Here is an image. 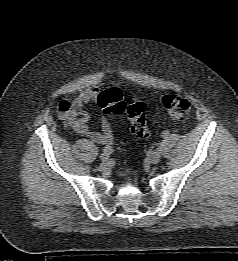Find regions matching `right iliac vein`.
<instances>
[{
    "label": "right iliac vein",
    "instance_id": "right-iliac-vein-1",
    "mask_svg": "<svg viewBox=\"0 0 238 261\" xmlns=\"http://www.w3.org/2000/svg\"><path fill=\"white\" fill-rule=\"evenodd\" d=\"M100 158L103 162H106L109 160V155L105 152L101 153Z\"/></svg>",
    "mask_w": 238,
    "mask_h": 261
}]
</instances>
